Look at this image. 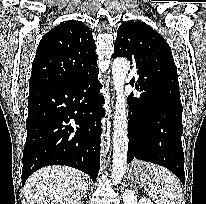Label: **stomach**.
Returning <instances> with one entry per match:
<instances>
[{"mask_svg":"<svg viewBox=\"0 0 206 204\" xmlns=\"http://www.w3.org/2000/svg\"><path fill=\"white\" fill-rule=\"evenodd\" d=\"M152 164L143 161L135 160L130 166L128 177L129 180L139 186L145 187L152 184L153 172L150 168Z\"/></svg>","mask_w":206,"mask_h":204,"instance_id":"obj_1","label":"stomach"}]
</instances>
